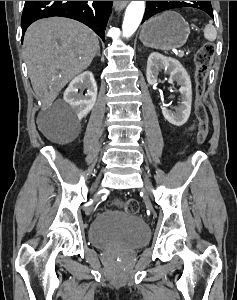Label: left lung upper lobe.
<instances>
[{"label": "left lung upper lobe", "instance_id": "5c2ea615", "mask_svg": "<svg viewBox=\"0 0 237 300\" xmlns=\"http://www.w3.org/2000/svg\"><path fill=\"white\" fill-rule=\"evenodd\" d=\"M181 7H193L205 12L212 8L210 1H147L143 22L159 12Z\"/></svg>", "mask_w": 237, "mask_h": 300}]
</instances>
